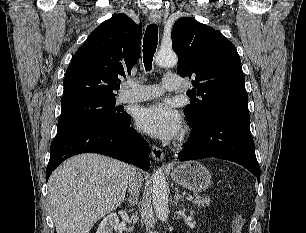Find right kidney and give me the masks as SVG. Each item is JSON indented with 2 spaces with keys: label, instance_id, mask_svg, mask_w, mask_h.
Returning a JSON list of instances; mask_svg holds the SVG:
<instances>
[{
  "label": "right kidney",
  "instance_id": "1",
  "mask_svg": "<svg viewBox=\"0 0 306 233\" xmlns=\"http://www.w3.org/2000/svg\"><path fill=\"white\" fill-rule=\"evenodd\" d=\"M119 217L125 222L129 221L127 213L123 210L119 211L118 215L111 213L101 221L96 233H113V230L117 231L120 226Z\"/></svg>",
  "mask_w": 306,
  "mask_h": 233
}]
</instances>
